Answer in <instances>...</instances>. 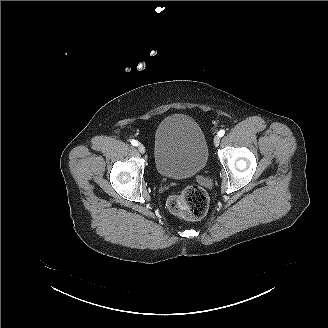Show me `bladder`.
Returning <instances> with one entry per match:
<instances>
[{
    "label": "bladder",
    "mask_w": 328,
    "mask_h": 328,
    "mask_svg": "<svg viewBox=\"0 0 328 328\" xmlns=\"http://www.w3.org/2000/svg\"><path fill=\"white\" fill-rule=\"evenodd\" d=\"M208 152L197 123L187 115L167 117L155 134V168L158 174L185 176L204 169Z\"/></svg>",
    "instance_id": "obj_1"
}]
</instances>
